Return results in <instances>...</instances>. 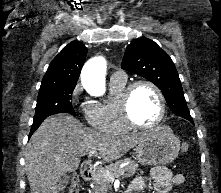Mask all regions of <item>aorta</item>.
<instances>
[{
    "label": "aorta",
    "instance_id": "obj_1",
    "mask_svg": "<svg viewBox=\"0 0 221 193\" xmlns=\"http://www.w3.org/2000/svg\"><path fill=\"white\" fill-rule=\"evenodd\" d=\"M103 67V60L101 58H94L90 60L84 67V74H88L92 80L97 81V87L93 90L96 95H101L104 92L103 81L99 78Z\"/></svg>",
    "mask_w": 221,
    "mask_h": 193
}]
</instances>
